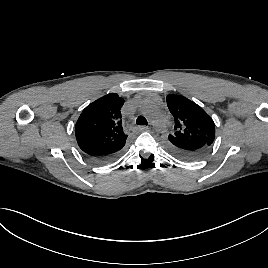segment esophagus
Here are the masks:
<instances>
[{"mask_svg": "<svg viewBox=\"0 0 268 268\" xmlns=\"http://www.w3.org/2000/svg\"><path fill=\"white\" fill-rule=\"evenodd\" d=\"M141 128H142L143 130L148 129V127H146V126H142Z\"/></svg>", "mask_w": 268, "mask_h": 268, "instance_id": "1", "label": "esophagus"}]
</instances>
